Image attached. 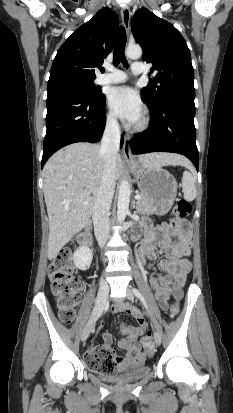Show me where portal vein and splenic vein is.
Listing matches in <instances>:
<instances>
[{
  "instance_id": "18ae733b",
  "label": "portal vein and splenic vein",
  "mask_w": 233,
  "mask_h": 413,
  "mask_svg": "<svg viewBox=\"0 0 233 413\" xmlns=\"http://www.w3.org/2000/svg\"><path fill=\"white\" fill-rule=\"evenodd\" d=\"M140 198H141V196H140L139 194H136V195H135V199H136V200H139ZM85 204H87V202H85Z\"/></svg>"
}]
</instances>
